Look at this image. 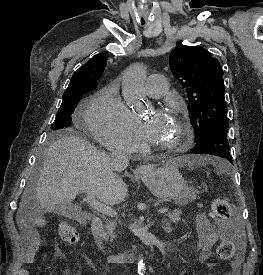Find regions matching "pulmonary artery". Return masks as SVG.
<instances>
[{
	"label": "pulmonary artery",
	"mask_w": 263,
	"mask_h": 275,
	"mask_svg": "<svg viewBox=\"0 0 263 275\" xmlns=\"http://www.w3.org/2000/svg\"><path fill=\"white\" fill-rule=\"evenodd\" d=\"M168 91L167 80L163 75L152 74L146 81V94L151 98H160Z\"/></svg>",
	"instance_id": "e3ab8cb5"
}]
</instances>
